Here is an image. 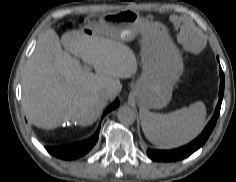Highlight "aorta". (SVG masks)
I'll return each mask as SVG.
<instances>
[{"mask_svg": "<svg viewBox=\"0 0 236 182\" xmlns=\"http://www.w3.org/2000/svg\"><path fill=\"white\" fill-rule=\"evenodd\" d=\"M118 120L125 125H131L136 120V114L129 106H122L117 113Z\"/></svg>", "mask_w": 236, "mask_h": 182, "instance_id": "obj_1", "label": "aorta"}]
</instances>
